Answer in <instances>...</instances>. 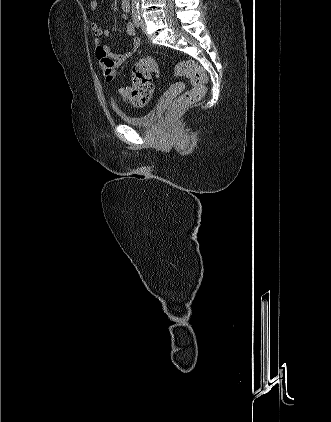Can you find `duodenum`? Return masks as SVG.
<instances>
[{"label": "duodenum", "instance_id": "1", "mask_svg": "<svg viewBox=\"0 0 331 422\" xmlns=\"http://www.w3.org/2000/svg\"><path fill=\"white\" fill-rule=\"evenodd\" d=\"M126 5H129L130 4V0H122Z\"/></svg>", "mask_w": 331, "mask_h": 422}]
</instances>
